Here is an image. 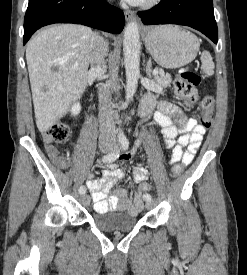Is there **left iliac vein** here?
I'll list each match as a JSON object with an SVG mask.
<instances>
[{"mask_svg": "<svg viewBox=\"0 0 247 275\" xmlns=\"http://www.w3.org/2000/svg\"><path fill=\"white\" fill-rule=\"evenodd\" d=\"M154 206H155V201L154 200L146 201V208L147 209H152Z\"/></svg>", "mask_w": 247, "mask_h": 275, "instance_id": "4c4485c4", "label": "left iliac vein"}]
</instances>
